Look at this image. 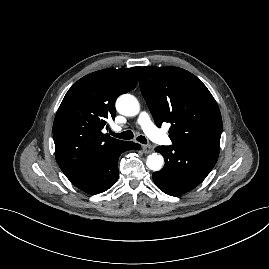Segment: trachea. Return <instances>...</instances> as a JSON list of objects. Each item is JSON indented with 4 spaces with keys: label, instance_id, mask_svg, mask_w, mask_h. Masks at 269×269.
I'll return each mask as SVG.
<instances>
[{
    "label": "trachea",
    "instance_id": "obj_1",
    "mask_svg": "<svg viewBox=\"0 0 269 269\" xmlns=\"http://www.w3.org/2000/svg\"><path fill=\"white\" fill-rule=\"evenodd\" d=\"M111 135L116 137V138L125 139V140H130L134 136L132 131H124L122 133L111 132ZM136 139H137V141H139L142 144H147V140L144 136H138Z\"/></svg>",
    "mask_w": 269,
    "mask_h": 269
}]
</instances>
